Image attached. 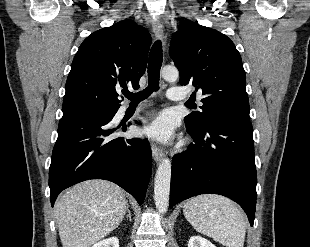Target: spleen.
<instances>
[{"label": "spleen", "instance_id": "spleen-1", "mask_svg": "<svg viewBox=\"0 0 310 247\" xmlns=\"http://www.w3.org/2000/svg\"><path fill=\"white\" fill-rule=\"evenodd\" d=\"M183 213L197 232L226 247H244V216L230 199L216 194L196 196L184 204Z\"/></svg>", "mask_w": 310, "mask_h": 247}]
</instances>
